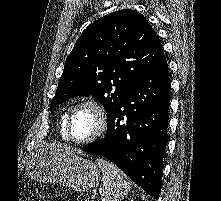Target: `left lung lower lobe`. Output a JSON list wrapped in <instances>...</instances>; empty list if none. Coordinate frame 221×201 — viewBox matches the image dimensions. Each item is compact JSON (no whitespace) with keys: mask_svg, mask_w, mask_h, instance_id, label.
<instances>
[{"mask_svg":"<svg viewBox=\"0 0 221 201\" xmlns=\"http://www.w3.org/2000/svg\"><path fill=\"white\" fill-rule=\"evenodd\" d=\"M170 79L164 58L124 97L103 140L82 150L103 156L158 199L167 142Z\"/></svg>","mask_w":221,"mask_h":201,"instance_id":"obj_1","label":"left lung lower lobe"}]
</instances>
